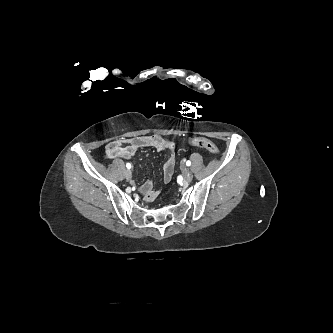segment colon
<instances>
[{
    "label": "colon",
    "mask_w": 333,
    "mask_h": 333,
    "mask_svg": "<svg viewBox=\"0 0 333 333\" xmlns=\"http://www.w3.org/2000/svg\"><path fill=\"white\" fill-rule=\"evenodd\" d=\"M189 143L193 146L203 148L211 154H217L219 152L217 146L214 143L202 137H193L189 139Z\"/></svg>",
    "instance_id": "5ec220e1"
}]
</instances>
